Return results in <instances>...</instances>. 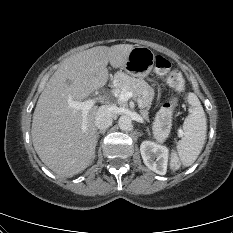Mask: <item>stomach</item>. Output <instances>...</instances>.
Returning a JSON list of instances; mask_svg holds the SVG:
<instances>
[{"mask_svg": "<svg viewBox=\"0 0 233 233\" xmlns=\"http://www.w3.org/2000/svg\"><path fill=\"white\" fill-rule=\"evenodd\" d=\"M155 62V54L147 47H134L123 66L124 71L130 76L143 79L152 71Z\"/></svg>", "mask_w": 233, "mask_h": 233, "instance_id": "1", "label": "stomach"}]
</instances>
